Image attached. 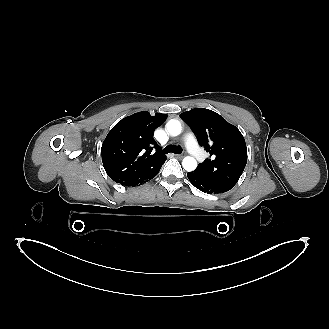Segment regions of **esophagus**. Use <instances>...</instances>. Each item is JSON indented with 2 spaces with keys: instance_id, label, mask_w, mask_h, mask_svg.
<instances>
[{
  "instance_id": "esophagus-1",
  "label": "esophagus",
  "mask_w": 329,
  "mask_h": 329,
  "mask_svg": "<svg viewBox=\"0 0 329 329\" xmlns=\"http://www.w3.org/2000/svg\"><path fill=\"white\" fill-rule=\"evenodd\" d=\"M175 156H176L177 158H179V159H182V158L184 157L183 154H176Z\"/></svg>"
}]
</instances>
